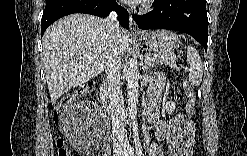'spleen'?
Returning <instances> with one entry per match:
<instances>
[{
    "instance_id": "1",
    "label": "spleen",
    "mask_w": 247,
    "mask_h": 156,
    "mask_svg": "<svg viewBox=\"0 0 247 156\" xmlns=\"http://www.w3.org/2000/svg\"><path fill=\"white\" fill-rule=\"evenodd\" d=\"M187 63L190 83L193 86L200 85L203 77V65L198 51L191 45L187 47Z\"/></svg>"
}]
</instances>
